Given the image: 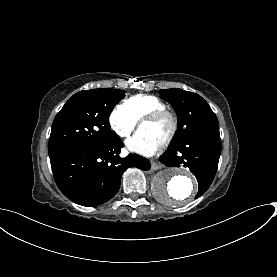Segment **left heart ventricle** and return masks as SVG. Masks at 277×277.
<instances>
[{"instance_id": "left-heart-ventricle-1", "label": "left heart ventricle", "mask_w": 277, "mask_h": 277, "mask_svg": "<svg viewBox=\"0 0 277 277\" xmlns=\"http://www.w3.org/2000/svg\"><path fill=\"white\" fill-rule=\"evenodd\" d=\"M169 128L170 124L165 119L143 123L140 126L141 130L146 131L147 133L159 140H162L167 135Z\"/></svg>"}]
</instances>
